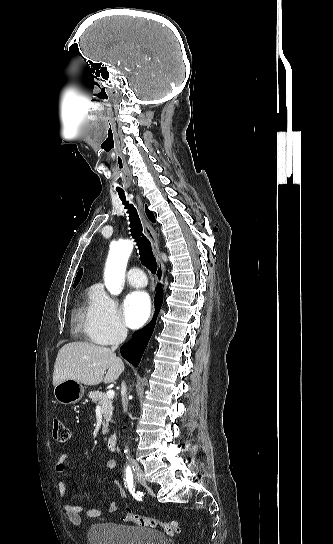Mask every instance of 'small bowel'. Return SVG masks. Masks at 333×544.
Here are the masks:
<instances>
[{
  "mask_svg": "<svg viewBox=\"0 0 333 544\" xmlns=\"http://www.w3.org/2000/svg\"><path fill=\"white\" fill-rule=\"evenodd\" d=\"M69 458H70L69 454H62L59 457L55 467L58 474H63L65 472L67 461ZM116 466H117V461L115 459H109L106 462V467L110 470L116 468ZM112 486L118 488L120 497L122 498L127 497L126 491L119 486L118 482L113 481ZM58 491L63 501V509L65 511V514L73 525L79 526L81 524V521H82L81 516L83 514L89 519H100L101 517H103V511L100 509H87L81 505L71 504L67 500L66 485L61 479L58 481ZM117 510H118V504L114 501L110 504L109 511L115 512Z\"/></svg>",
  "mask_w": 333,
  "mask_h": 544,
  "instance_id": "obj_1",
  "label": "small bowel"
}]
</instances>
